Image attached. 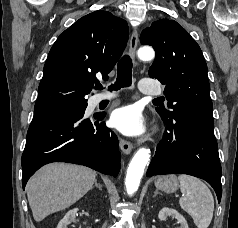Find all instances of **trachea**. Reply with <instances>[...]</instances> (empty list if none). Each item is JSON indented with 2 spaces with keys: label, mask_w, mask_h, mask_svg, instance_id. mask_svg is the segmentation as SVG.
I'll list each match as a JSON object with an SVG mask.
<instances>
[{
  "label": "trachea",
  "mask_w": 238,
  "mask_h": 228,
  "mask_svg": "<svg viewBox=\"0 0 238 228\" xmlns=\"http://www.w3.org/2000/svg\"><path fill=\"white\" fill-rule=\"evenodd\" d=\"M132 83V61L128 55H124L117 65V79L115 84L109 87V90H119L129 87ZM101 84H96L95 89L101 90Z\"/></svg>",
  "instance_id": "3493384b"
}]
</instances>
